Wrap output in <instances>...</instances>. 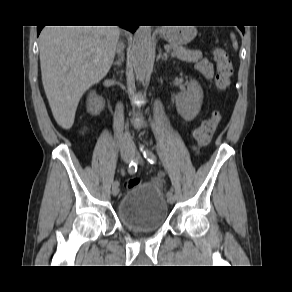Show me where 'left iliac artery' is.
Segmentation results:
<instances>
[{
  "instance_id": "obj_1",
  "label": "left iliac artery",
  "mask_w": 292,
  "mask_h": 292,
  "mask_svg": "<svg viewBox=\"0 0 292 292\" xmlns=\"http://www.w3.org/2000/svg\"><path fill=\"white\" fill-rule=\"evenodd\" d=\"M143 152V156L144 158L150 163V164H154L156 162V156L148 149L144 148L142 149ZM173 194V190H169L167 192V196H170Z\"/></svg>"
}]
</instances>
